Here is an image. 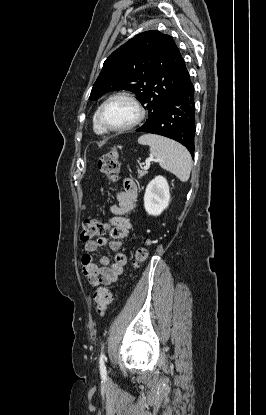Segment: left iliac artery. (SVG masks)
<instances>
[{
  "mask_svg": "<svg viewBox=\"0 0 266 415\" xmlns=\"http://www.w3.org/2000/svg\"><path fill=\"white\" fill-rule=\"evenodd\" d=\"M105 360H106V357L104 353L101 352L100 359H99V365H100V372L102 375H106Z\"/></svg>",
  "mask_w": 266,
  "mask_h": 415,
  "instance_id": "1",
  "label": "left iliac artery"
}]
</instances>
